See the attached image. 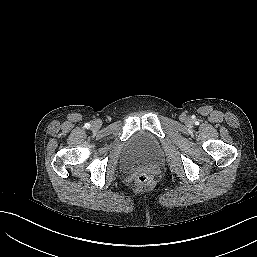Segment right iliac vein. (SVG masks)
<instances>
[{"mask_svg": "<svg viewBox=\"0 0 257 257\" xmlns=\"http://www.w3.org/2000/svg\"><path fill=\"white\" fill-rule=\"evenodd\" d=\"M98 128H99V123H97V122H93L92 124H91V129L92 130H98Z\"/></svg>", "mask_w": 257, "mask_h": 257, "instance_id": "63e3f726", "label": "right iliac vein"}]
</instances>
